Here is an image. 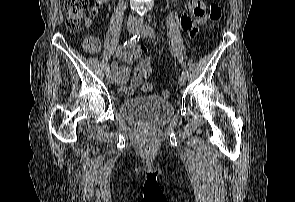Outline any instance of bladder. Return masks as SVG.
<instances>
[{
  "instance_id": "31cf9c89",
  "label": "bladder",
  "mask_w": 295,
  "mask_h": 202,
  "mask_svg": "<svg viewBox=\"0 0 295 202\" xmlns=\"http://www.w3.org/2000/svg\"><path fill=\"white\" fill-rule=\"evenodd\" d=\"M119 114L128 121L159 126L173 117L174 107L157 95H148L123 101Z\"/></svg>"
}]
</instances>
